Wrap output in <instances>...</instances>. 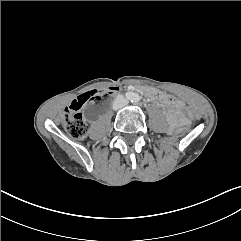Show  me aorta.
I'll return each mask as SVG.
<instances>
[{"label":"aorta","instance_id":"762f6f07","mask_svg":"<svg viewBox=\"0 0 241 241\" xmlns=\"http://www.w3.org/2000/svg\"><path fill=\"white\" fill-rule=\"evenodd\" d=\"M133 102H137L139 100V96L137 94H134L131 98Z\"/></svg>","mask_w":241,"mask_h":241}]
</instances>
